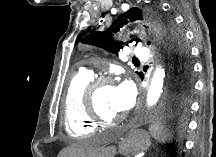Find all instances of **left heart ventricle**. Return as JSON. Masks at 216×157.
<instances>
[{"label":"left heart ventricle","instance_id":"left-heart-ventricle-1","mask_svg":"<svg viewBox=\"0 0 216 157\" xmlns=\"http://www.w3.org/2000/svg\"><path fill=\"white\" fill-rule=\"evenodd\" d=\"M96 106L98 112L107 119H115L123 115L113 103V86L109 85L100 89L96 94Z\"/></svg>","mask_w":216,"mask_h":157}]
</instances>
